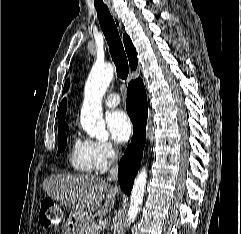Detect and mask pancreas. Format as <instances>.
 <instances>
[{
  "instance_id": "obj_1",
  "label": "pancreas",
  "mask_w": 241,
  "mask_h": 234,
  "mask_svg": "<svg viewBox=\"0 0 241 234\" xmlns=\"http://www.w3.org/2000/svg\"><path fill=\"white\" fill-rule=\"evenodd\" d=\"M94 226H96V225L91 224L87 227H84L83 233H81V234H99L100 229H97L96 231H92Z\"/></svg>"
}]
</instances>
